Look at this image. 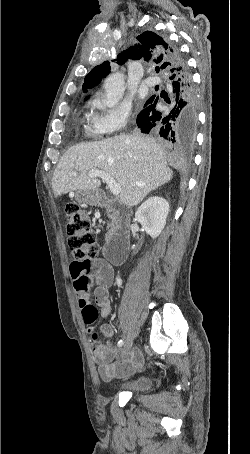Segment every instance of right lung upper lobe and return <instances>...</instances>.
<instances>
[{"instance_id":"cb5924a9","label":"right lung upper lobe","mask_w":250,"mask_h":454,"mask_svg":"<svg viewBox=\"0 0 250 454\" xmlns=\"http://www.w3.org/2000/svg\"><path fill=\"white\" fill-rule=\"evenodd\" d=\"M137 44L131 46L126 51L118 55V64H123L128 58L139 60L143 58L145 61L155 63L156 71L165 76L170 70L172 63L169 53V42L151 31H145L137 36ZM110 73V63L105 61L102 64L94 67L84 79L83 90L96 86L103 77Z\"/></svg>"}]
</instances>
